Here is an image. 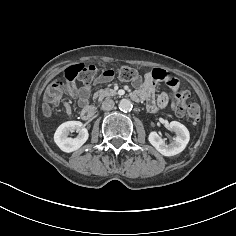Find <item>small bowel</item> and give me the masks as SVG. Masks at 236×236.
<instances>
[{"mask_svg": "<svg viewBox=\"0 0 236 236\" xmlns=\"http://www.w3.org/2000/svg\"><path fill=\"white\" fill-rule=\"evenodd\" d=\"M108 80V77L101 76L96 80V83H102ZM170 77L162 69H153L152 71L145 74L141 79L134 81V85L137 86V89L132 94V97L136 101H146L148 109L151 111H156L157 109H162L166 107L168 103V95L165 92L159 93L157 96L154 95V85L156 82H165L171 87H175V82H169ZM92 89V84L87 83L76 88L75 86H70L67 89V93L76 98L80 106H85L88 102L90 93ZM64 110L70 115L72 112L71 105L68 102H64ZM176 105V99L172 101V106Z\"/></svg>", "mask_w": 236, "mask_h": 236, "instance_id": "1", "label": "small bowel"}]
</instances>
